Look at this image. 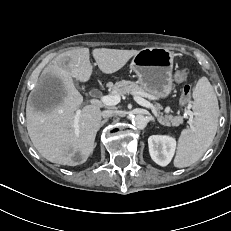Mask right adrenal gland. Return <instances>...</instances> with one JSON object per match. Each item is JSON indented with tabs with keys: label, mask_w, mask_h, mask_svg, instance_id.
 Instances as JSON below:
<instances>
[{
	"label": "right adrenal gland",
	"mask_w": 231,
	"mask_h": 231,
	"mask_svg": "<svg viewBox=\"0 0 231 231\" xmlns=\"http://www.w3.org/2000/svg\"><path fill=\"white\" fill-rule=\"evenodd\" d=\"M108 121V119H104L103 121H101L100 123V128Z\"/></svg>",
	"instance_id": "1"
}]
</instances>
